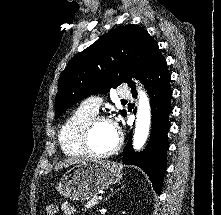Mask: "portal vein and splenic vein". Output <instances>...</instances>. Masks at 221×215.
<instances>
[{
  "label": "portal vein and splenic vein",
  "instance_id": "1",
  "mask_svg": "<svg viewBox=\"0 0 221 215\" xmlns=\"http://www.w3.org/2000/svg\"><path fill=\"white\" fill-rule=\"evenodd\" d=\"M98 199H99V200H102V196H99Z\"/></svg>",
  "mask_w": 221,
  "mask_h": 215
}]
</instances>
